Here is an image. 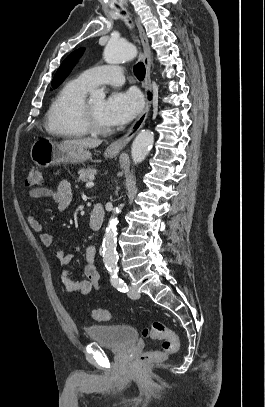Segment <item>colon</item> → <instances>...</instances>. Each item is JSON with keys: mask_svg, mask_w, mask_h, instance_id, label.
<instances>
[{"mask_svg": "<svg viewBox=\"0 0 265 407\" xmlns=\"http://www.w3.org/2000/svg\"><path fill=\"white\" fill-rule=\"evenodd\" d=\"M43 181L42 171L37 165H32L28 170L26 178L27 186L33 187L40 185ZM92 316L97 321H111L113 314L105 309H94ZM143 337L152 340L162 341L159 350L146 352L141 355L140 361L142 364L159 362L167 357L177 353L179 349V339L177 334L160 321H154L152 324L143 330Z\"/></svg>", "mask_w": 265, "mask_h": 407, "instance_id": "obj_1", "label": "colon"}]
</instances>
